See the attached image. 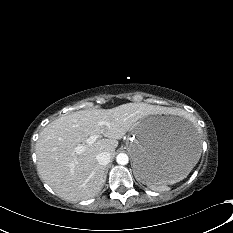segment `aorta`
Returning a JSON list of instances; mask_svg holds the SVG:
<instances>
[{
    "label": "aorta",
    "mask_w": 233,
    "mask_h": 233,
    "mask_svg": "<svg viewBox=\"0 0 233 233\" xmlns=\"http://www.w3.org/2000/svg\"><path fill=\"white\" fill-rule=\"evenodd\" d=\"M116 162L120 165H126L129 162L128 155L125 153H119L116 157Z\"/></svg>",
    "instance_id": "1"
}]
</instances>
